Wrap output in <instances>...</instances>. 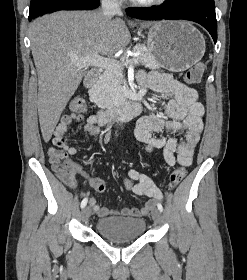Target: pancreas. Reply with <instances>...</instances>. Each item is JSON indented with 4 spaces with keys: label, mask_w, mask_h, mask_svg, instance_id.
<instances>
[{
    "label": "pancreas",
    "mask_w": 247,
    "mask_h": 280,
    "mask_svg": "<svg viewBox=\"0 0 247 280\" xmlns=\"http://www.w3.org/2000/svg\"><path fill=\"white\" fill-rule=\"evenodd\" d=\"M133 51L140 52V54L135 57L138 63L150 69H158L160 67L145 45L138 44L133 48ZM128 61L129 59L126 55L122 56V64ZM124 84L123 67L117 70L106 69L99 77L94 88V102L102 109H110L119 106L124 99Z\"/></svg>",
    "instance_id": "pancreas-1"
}]
</instances>
